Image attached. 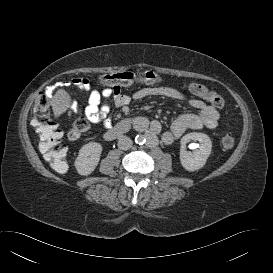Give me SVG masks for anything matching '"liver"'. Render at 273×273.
<instances>
[{"instance_id":"1","label":"liver","mask_w":273,"mask_h":273,"mask_svg":"<svg viewBox=\"0 0 273 273\" xmlns=\"http://www.w3.org/2000/svg\"><path fill=\"white\" fill-rule=\"evenodd\" d=\"M71 98L69 94L63 90L59 89L51 101L52 109L56 117L60 116L62 113L66 112L70 107Z\"/></svg>"}]
</instances>
